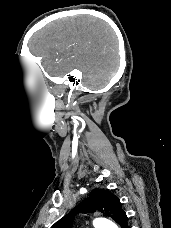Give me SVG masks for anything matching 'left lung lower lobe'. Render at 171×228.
<instances>
[{
  "instance_id": "0a47b994",
  "label": "left lung lower lobe",
  "mask_w": 171,
  "mask_h": 228,
  "mask_svg": "<svg viewBox=\"0 0 171 228\" xmlns=\"http://www.w3.org/2000/svg\"><path fill=\"white\" fill-rule=\"evenodd\" d=\"M121 228H130L129 226H128V224L126 223L123 227H121Z\"/></svg>"
}]
</instances>
